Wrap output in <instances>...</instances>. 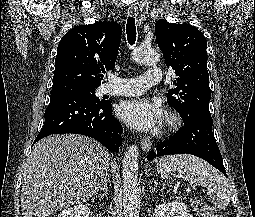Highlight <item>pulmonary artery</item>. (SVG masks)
I'll return each mask as SVG.
<instances>
[{
	"label": "pulmonary artery",
	"mask_w": 255,
	"mask_h": 217,
	"mask_svg": "<svg viewBox=\"0 0 255 217\" xmlns=\"http://www.w3.org/2000/svg\"><path fill=\"white\" fill-rule=\"evenodd\" d=\"M161 77V70L158 67H150L143 75L137 77L121 78L110 75L109 83L104 87V93L118 96L140 95L150 86L159 83Z\"/></svg>",
	"instance_id": "e3ab8cb5"
}]
</instances>
